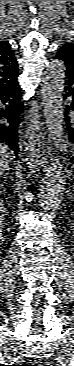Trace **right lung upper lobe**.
<instances>
[{"label":"right lung upper lobe","mask_w":74,"mask_h":366,"mask_svg":"<svg viewBox=\"0 0 74 366\" xmlns=\"http://www.w3.org/2000/svg\"><path fill=\"white\" fill-rule=\"evenodd\" d=\"M18 64L8 42L0 41V87L17 81Z\"/></svg>","instance_id":"obj_1"}]
</instances>
